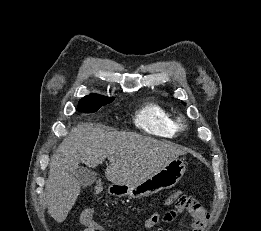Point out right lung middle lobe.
I'll list each match as a JSON object with an SVG mask.
<instances>
[{"mask_svg": "<svg viewBox=\"0 0 261 231\" xmlns=\"http://www.w3.org/2000/svg\"><path fill=\"white\" fill-rule=\"evenodd\" d=\"M113 97L105 96H86L79 101L77 110L85 113H93L97 111L102 105L111 103Z\"/></svg>", "mask_w": 261, "mask_h": 231, "instance_id": "1", "label": "right lung middle lobe"}]
</instances>
